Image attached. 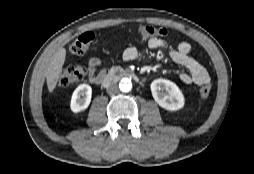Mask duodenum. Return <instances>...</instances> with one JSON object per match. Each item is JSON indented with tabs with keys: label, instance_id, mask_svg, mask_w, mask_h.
I'll return each mask as SVG.
<instances>
[{
	"label": "duodenum",
	"instance_id": "1",
	"mask_svg": "<svg viewBox=\"0 0 254 174\" xmlns=\"http://www.w3.org/2000/svg\"><path fill=\"white\" fill-rule=\"evenodd\" d=\"M124 78L136 80V76L133 72L121 68H113L100 78L99 83L102 86L106 87L111 82Z\"/></svg>",
	"mask_w": 254,
	"mask_h": 174
}]
</instances>
